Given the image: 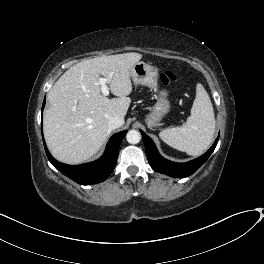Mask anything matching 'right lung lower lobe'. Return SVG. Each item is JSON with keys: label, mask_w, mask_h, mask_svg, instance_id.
I'll return each mask as SVG.
<instances>
[{"label": "right lung lower lobe", "mask_w": 264, "mask_h": 264, "mask_svg": "<svg viewBox=\"0 0 264 264\" xmlns=\"http://www.w3.org/2000/svg\"><path fill=\"white\" fill-rule=\"evenodd\" d=\"M45 100L42 106V112ZM42 129V128H41ZM127 131L119 132L113 135L106 147L102 157L98 160L82 165H66L55 160L49 153L44 142L46 155L52 165L62 174L81 185H91L104 181L114 170L117 162L120 143ZM43 136V134H42ZM44 141V139H43Z\"/></svg>", "instance_id": "98d812e1"}]
</instances>
